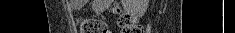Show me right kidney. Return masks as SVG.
Masks as SVG:
<instances>
[{
    "label": "right kidney",
    "mask_w": 235,
    "mask_h": 33,
    "mask_svg": "<svg viewBox=\"0 0 235 33\" xmlns=\"http://www.w3.org/2000/svg\"><path fill=\"white\" fill-rule=\"evenodd\" d=\"M125 7L129 13L142 16L148 7V0H126Z\"/></svg>",
    "instance_id": "1"
}]
</instances>
